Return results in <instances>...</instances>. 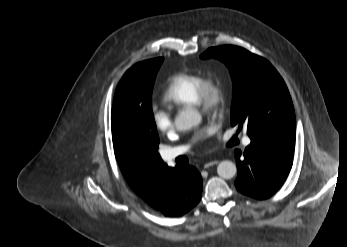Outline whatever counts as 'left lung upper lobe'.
<instances>
[{"label":"left lung upper lobe","mask_w":347,"mask_h":247,"mask_svg":"<svg viewBox=\"0 0 347 247\" xmlns=\"http://www.w3.org/2000/svg\"><path fill=\"white\" fill-rule=\"evenodd\" d=\"M217 58L229 68L233 82L231 124L247 125L251 140L295 141V114L289 91L264 58L232 45L209 48L201 58Z\"/></svg>","instance_id":"5c2ea615"}]
</instances>
